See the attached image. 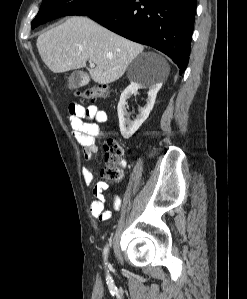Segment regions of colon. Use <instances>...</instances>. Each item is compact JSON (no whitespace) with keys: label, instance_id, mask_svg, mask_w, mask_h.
<instances>
[{"label":"colon","instance_id":"5ec220e1","mask_svg":"<svg viewBox=\"0 0 247 299\" xmlns=\"http://www.w3.org/2000/svg\"><path fill=\"white\" fill-rule=\"evenodd\" d=\"M75 95L81 99L96 100L107 97L108 89L106 86L95 85L76 90ZM104 149L107 167L103 174L108 179L119 180L122 177V170L117 166V162L123 152L122 147L116 140L108 139L104 144Z\"/></svg>","mask_w":247,"mask_h":299}]
</instances>
